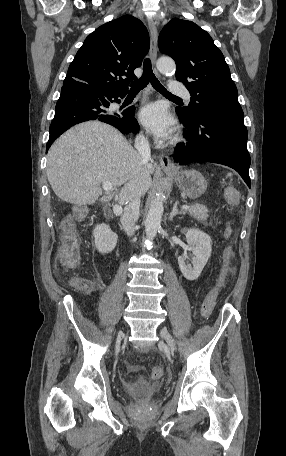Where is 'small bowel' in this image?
Returning a JSON list of instances; mask_svg holds the SVG:
<instances>
[{
  "label": "small bowel",
  "instance_id": "small-bowel-1",
  "mask_svg": "<svg viewBox=\"0 0 286 456\" xmlns=\"http://www.w3.org/2000/svg\"><path fill=\"white\" fill-rule=\"evenodd\" d=\"M229 234H230V228H229V226H228V227H227V230H226V232H225V236L228 237Z\"/></svg>",
  "mask_w": 286,
  "mask_h": 456
}]
</instances>
